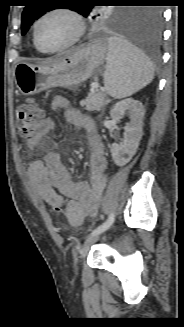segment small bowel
I'll return each instance as SVG.
<instances>
[{
  "label": "small bowel",
  "instance_id": "1",
  "mask_svg": "<svg viewBox=\"0 0 184 327\" xmlns=\"http://www.w3.org/2000/svg\"><path fill=\"white\" fill-rule=\"evenodd\" d=\"M51 108L65 111L68 121L84 130L91 149L89 180L73 181L56 152H48L43 160L33 161L28 167V179L41 199L48 204L57 203L68 221L72 225H78L87 215V209L96 211L98 199L105 188L107 168L105 147L93 122L73 109L66 98L55 97L51 102ZM55 128L54 119L45 118L28 137L27 146L34 149L41 139Z\"/></svg>",
  "mask_w": 184,
  "mask_h": 327
}]
</instances>
